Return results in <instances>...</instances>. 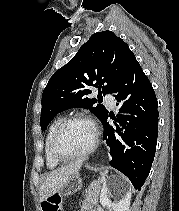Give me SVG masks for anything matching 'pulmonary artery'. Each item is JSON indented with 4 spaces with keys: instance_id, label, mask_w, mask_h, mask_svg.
Returning <instances> with one entry per match:
<instances>
[{
    "instance_id": "obj_1",
    "label": "pulmonary artery",
    "mask_w": 179,
    "mask_h": 211,
    "mask_svg": "<svg viewBox=\"0 0 179 211\" xmlns=\"http://www.w3.org/2000/svg\"><path fill=\"white\" fill-rule=\"evenodd\" d=\"M105 102L108 104L109 107L114 108L115 106L114 97L111 94L105 95Z\"/></svg>"
}]
</instances>
